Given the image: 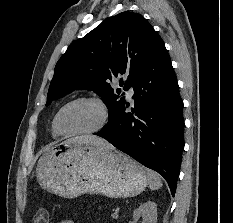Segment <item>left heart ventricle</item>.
Wrapping results in <instances>:
<instances>
[{
    "instance_id": "obj_1",
    "label": "left heart ventricle",
    "mask_w": 233,
    "mask_h": 223,
    "mask_svg": "<svg viewBox=\"0 0 233 223\" xmlns=\"http://www.w3.org/2000/svg\"><path fill=\"white\" fill-rule=\"evenodd\" d=\"M103 116L98 105L76 102L67 107L60 117V128L68 133L87 132L98 128Z\"/></svg>"
}]
</instances>
